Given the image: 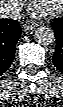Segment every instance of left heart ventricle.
<instances>
[{
    "mask_svg": "<svg viewBox=\"0 0 63 107\" xmlns=\"http://www.w3.org/2000/svg\"><path fill=\"white\" fill-rule=\"evenodd\" d=\"M42 1V0H40ZM60 0H43V4H42V7L44 9H50V8H54L58 5Z\"/></svg>",
    "mask_w": 63,
    "mask_h": 107,
    "instance_id": "b2bd125f",
    "label": "left heart ventricle"
}]
</instances>
